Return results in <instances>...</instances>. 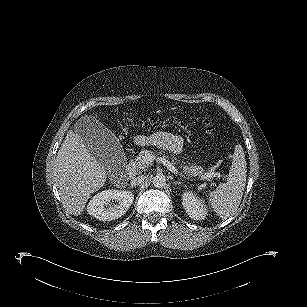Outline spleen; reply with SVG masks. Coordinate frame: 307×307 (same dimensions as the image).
<instances>
[{"label":"spleen","instance_id":"spleen-1","mask_svg":"<svg viewBox=\"0 0 307 307\" xmlns=\"http://www.w3.org/2000/svg\"><path fill=\"white\" fill-rule=\"evenodd\" d=\"M246 160L243 149L237 146L227 180L208 195L211 209L222 218L233 215L240 203L246 185Z\"/></svg>","mask_w":307,"mask_h":307}]
</instances>
